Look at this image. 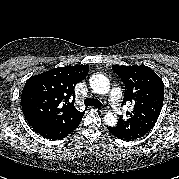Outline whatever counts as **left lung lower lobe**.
Returning <instances> with one entry per match:
<instances>
[{"label":"left lung lower lobe","mask_w":179,"mask_h":179,"mask_svg":"<svg viewBox=\"0 0 179 179\" xmlns=\"http://www.w3.org/2000/svg\"><path fill=\"white\" fill-rule=\"evenodd\" d=\"M107 128H108V130H109L112 134L115 135V132H114V128H113V127H107ZM115 136H116V135H115ZM140 136H143V135H139V136H137V137H135V138H133V139L139 138ZM116 137H117V136H116ZM117 138H120V139H123V140H126V141L133 140V139H125V138H121V137H117Z\"/></svg>","instance_id":"0a47b994"}]
</instances>
